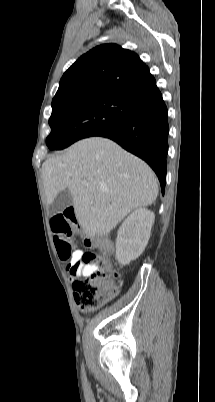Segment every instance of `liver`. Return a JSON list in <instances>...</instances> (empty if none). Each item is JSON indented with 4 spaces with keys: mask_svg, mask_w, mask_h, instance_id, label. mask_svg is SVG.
I'll return each instance as SVG.
<instances>
[{
    "mask_svg": "<svg viewBox=\"0 0 215 402\" xmlns=\"http://www.w3.org/2000/svg\"><path fill=\"white\" fill-rule=\"evenodd\" d=\"M46 203L68 190L76 219L88 237L106 235L127 214L158 196V180L141 159L115 142L92 137L47 159L41 169Z\"/></svg>",
    "mask_w": 215,
    "mask_h": 402,
    "instance_id": "1",
    "label": "liver"
}]
</instances>
